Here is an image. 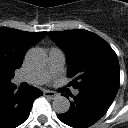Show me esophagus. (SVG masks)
Returning a JSON list of instances; mask_svg holds the SVG:
<instances>
[{
	"label": "esophagus",
	"instance_id": "1",
	"mask_svg": "<svg viewBox=\"0 0 128 128\" xmlns=\"http://www.w3.org/2000/svg\"><path fill=\"white\" fill-rule=\"evenodd\" d=\"M44 96L49 97L51 99H54L57 96V93L54 92V91L45 90L44 91Z\"/></svg>",
	"mask_w": 128,
	"mask_h": 128
}]
</instances>
